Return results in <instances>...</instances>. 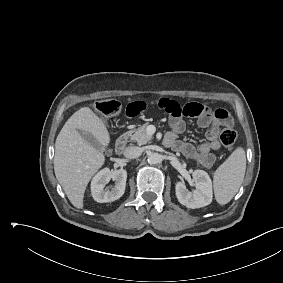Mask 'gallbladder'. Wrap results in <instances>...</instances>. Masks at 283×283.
<instances>
[{
    "label": "gallbladder",
    "mask_w": 283,
    "mask_h": 283,
    "mask_svg": "<svg viewBox=\"0 0 283 283\" xmlns=\"http://www.w3.org/2000/svg\"><path fill=\"white\" fill-rule=\"evenodd\" d=\"M83 138L90 143L92 146H94L98 150H104L105 147L102 146L91 134L86 132H80Z\"/></svg>",
    "instance_id": "obj_1"
}]
</instances>
